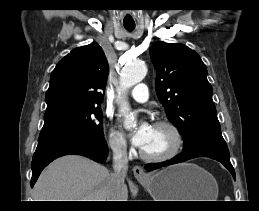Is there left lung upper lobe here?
I'll list each match as a JSON object with an SVG mask.
<instances>
[{"mask_svg":"<svg viewBox=\"0 0 259 211\" xmlns=\"http://www.w3.org/2000/svg\"><path fill=\"white\" fill-rule=\"evenodd\" d=\"M150 57L157 71L158 99L184 138L183 151L203 143L226 145L200 56L183 44L157 42Z\"/></svg>","mask_w":259,"mask_h":211,"instance_id":"left-lung-upper-lobe-1","label":"left lung upper lobe"}]
</instances>
